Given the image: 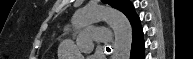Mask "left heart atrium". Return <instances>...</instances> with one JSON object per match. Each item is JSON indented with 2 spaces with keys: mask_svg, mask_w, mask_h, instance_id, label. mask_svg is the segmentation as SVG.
Segmentation results:
<instances>
[{
  "mask_svg": "<svg viewBox=\"0 0 193 59\" xmlns=\"http://www.w3.org/2000/svg\"><path fill=\"white\" fill-rule=\"evenodd\" d=\"M87 59H100V58L97 57L96 55H90L87 57Z\"/></svg>",
  "mask_w": 193,
  "mask_h": 59,
  "instance_id": "1",
  "label": "left heart atrium"
}]
</instances>
